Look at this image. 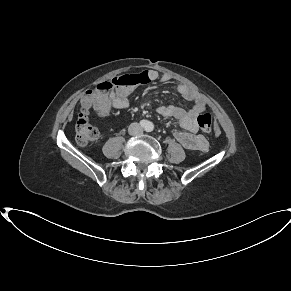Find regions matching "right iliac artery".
<instances>
[{
    "instance_id": "1",
    "label": "right iliac artery",
    "mask_w": 291,
    "mask_h": 291,
    "mask_svg": "<svg viewBox=\"0 0 291 291\" xmlns=\"http://www.w3.org/2000/svg\"><path fill=\"white\" fill-rule=\"evenodd\" d=\"M140 125L142 127H146L148 125V122L146 120H142V121H140Z\"/></svg>"
}]
</instances>
